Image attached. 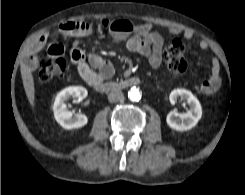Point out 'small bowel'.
<instances>
[{"label":"small bowel","mask_w":245,"mask_h":195,"mask_svg":"<svg viewBox=\"0 0 245 195\" xmlns=\"http://www.w3.org/2000/svg\"><path fill=\"white\" fill-rule=\"evenodd\" d=\"M110 31L116 39H127L126 47L131 52L143 56L152 68H158L163 61V37L153 29L151 24L134 25L128 20L103 19L100 24ZM59 32L74 37H88L95 31V25L86 22L68 21L62 23ZM169 32L172 35L182 34L187 40L194 39V33L190 30H181L171 27ZM49 38L45 33L38 37L32 44L27 56V65L34 69L37 65L39 52L44 48ZM202 50H206L209 44L206 40L198 42ZM51 56H60L64 53V46L61 43H51L47 48ZM71 58L77 67L79 75L90 85H94L103 79H109L114 75L115 69L112 63L99 54L93 53L88 57L84 52L74 47L71 50ZM221 68L217 58L211 60V72L207 80L196 84V90L203 95H210L216 92L221 86Z\"/></svg>","instance_id":"small-bowel-1"}]
</instances>
